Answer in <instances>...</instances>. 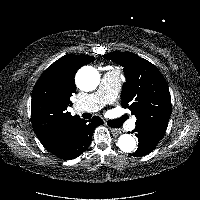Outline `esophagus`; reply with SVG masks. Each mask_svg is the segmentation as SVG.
<instances>
[{"label":"esophagus","instance_id":"34e87169","mask_svg":"<svg viewBox=\"0 0 200 200\" xmlns=\"http://www.w3.org/2000/svg\"><path fill=\"white\" fill-rule=\"evenodd\" d=\"M109 129H110V131H111L112 133H114V134H118V133L121 132V131H120L119 129H117V128L109 127Z\"/></svg>","mask_w":200,"mask_h":200}]
</instances>
